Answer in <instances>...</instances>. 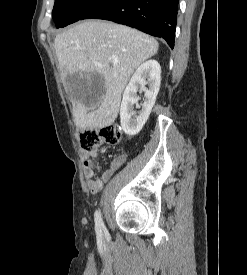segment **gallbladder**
Wrapping results in <instances>:
<instances>
[{
    "label": "gallbladder",
    "instance_id": "obj_1",
    "mask_svg": "<svg viewBox=\"0 0 247 275\" xmlns=\"http://www.w3.org/2000/svg\"><path fill=\"white\" fill-rule=\"evenodd\" d=\"M66 85L86 103L93 94L104 93L103 79L97 73H75L68 75L66 78Z\"/></svg>",
    "mask_w": 247,
    "mask_h": 275
}]
</instances>
